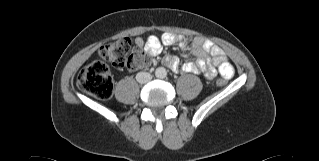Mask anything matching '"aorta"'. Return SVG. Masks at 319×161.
<instances>
[{"label": "aorta", "instance_id": "762f6f07", "mask_svg": "<svg viewBox=\"0 0 319 161\" xmlns=\"http://www.w3.org/2000/svg\"><path fill=\"white\" fill-rule=\"evenodd\" d=\"M167 75V71L164 67H158L155 71V76L157 78H165Z\"/></svg>", "mask_w": 319, "mask_h": 161}]
</instances>
